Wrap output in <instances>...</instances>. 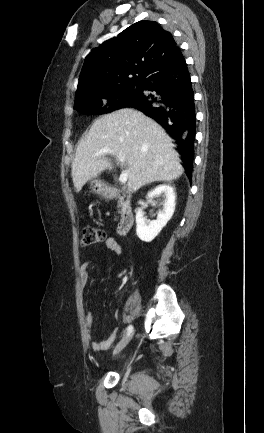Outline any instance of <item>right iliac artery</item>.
<instances>
[{"mask_svg":"<svg viewBox=\"0 0 264 433\" xmlns=\"http://www.w3.org/2000/svg\"><path fill=\"white\" fill-rule=\"evenodd\" d=\"M132 332H133V326H132V325H129V326L127 327V336L131 335Z\"/></svg>","mask_w":264,"mask_h":433,"instance_id":"right-iliac-artery-1","label":"right iliac artery"}]
</instances>
